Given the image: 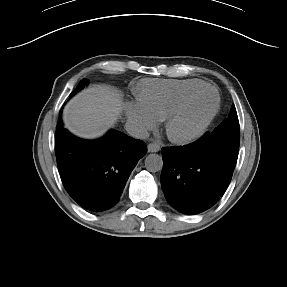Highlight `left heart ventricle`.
<instances>
[{
    "label": "left heart ventricle",
    "mask_w": 287,
    "mask_h": 287,
    "mask_svg": "<svg viewBox=\"0 0 287 287\" xmlns=\"http://www.w3.org/2000/svg\"><path fill=\"white\" fill-rule=\"evenodd\" d=\"M213 105L214 96L212 92L206 90L196 94L177 121L176 133L186 134L193 131L207 117Z\"/></svg>",
    "instance_id": "b2bd125f"
}]
</instances>
